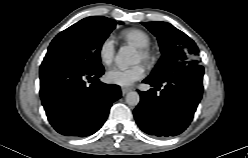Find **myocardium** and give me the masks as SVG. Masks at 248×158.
I'll list each match as a JSON object with an SVG mask.
<instances>
[{
    "label": "myocardium",
    "instance_id": "f54148a6",
    "mask_svg": "<svg viewBox=\"0 0 248 158\" xmlns=\"http://www.w3.org/2000/svg\"><path fill=\"white\" fill-rule=\"evenodd\" d=\"M138 52L142 57V61L148 65L152 66L156 61V54L149 47L138 48Z\"/></svg>",
    "mask_w": 248,
    "mask_h": 158
}]
</instances>
